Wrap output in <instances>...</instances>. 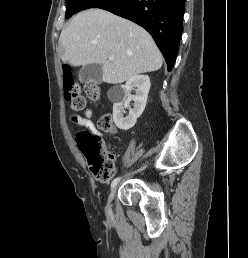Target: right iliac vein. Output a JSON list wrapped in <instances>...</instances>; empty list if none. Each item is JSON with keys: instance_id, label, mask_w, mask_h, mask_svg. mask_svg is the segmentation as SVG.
<instances>
[{"instance_id": "1", "label": "right iliac vein", "mask_w": 248, "mask_h": 258, "mask_svg": "<svg viewBox=\"0 0 248 258\" xmlns=\"http://www.w3.org/2000/svg\"><path fill=\"white\" fill-rule=\"evenodd\" d=\"M117 189H118V186L115 185L113 187V189L111 190V193H110L109 198H108V206H110L111 202L113 201V199L116 195Z\"/></svg>"}]
</instances>
